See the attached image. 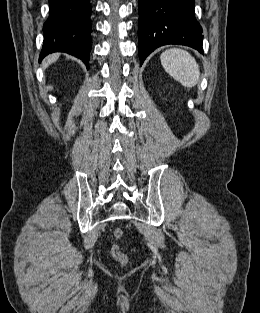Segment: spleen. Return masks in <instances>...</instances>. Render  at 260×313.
<instances>
[{
  "mask_svg": "<svg viewBox=\"0 0 260 313\" xmlns=\"http://www.w3.org/2000/svg\"><path fill=\"white\" fill-rule=\"evenodd\" d=\"M160 59L165 71L184 87L192 88L199 82V66L187 51L171 48L164 51Z\"/></svg>",
  "mask_w": 260,
  "mask_h": 313,
  "instance_id": "1",
  "label": "spleen"
}]
</instances>
